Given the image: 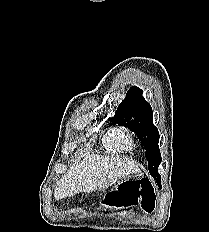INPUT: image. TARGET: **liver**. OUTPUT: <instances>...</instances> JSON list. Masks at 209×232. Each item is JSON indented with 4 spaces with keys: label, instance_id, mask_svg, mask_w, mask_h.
Returning a JSON list of instances; mask_svg holds the SVG:
<instances>
[{
    "label": "liver",
    "instance_id": "liver-1",
    "mask_svg": "<svg viewBox=\"0 0 209 232\" xmlns=\"http://www.w3.org/2000/svg\"><path fill=\"white\" fill-rule=\"evenodd\" d=\"M139 171V165L125 157L87 155L59 180L54 196L56 200H60L82 191L85 193L100 191L114 185L119 179Z\"/></svg>",
    "mask_w": 209,
    "mask_h": 232
}]
</instances>
